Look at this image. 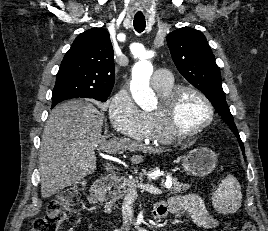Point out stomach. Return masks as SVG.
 Segmentation results:
<instances>
[{
	"label": "stomach",
	"mask_w": 268,
	"mask_h": 231,
	"mask_svg": "<svg viewBox=\"0 0 268 231\" xmlns=\"http://www.w3.org/2000/svg\"><path fill=\"white\" fill-rule=\"evenodd\" d=\"M217 154L206 147L189 151L182 158V167L188 175L204 177L216 167Z\"/></svg>",
	"instance_id": "stomach-1"
}]
</instances>
